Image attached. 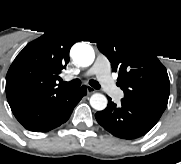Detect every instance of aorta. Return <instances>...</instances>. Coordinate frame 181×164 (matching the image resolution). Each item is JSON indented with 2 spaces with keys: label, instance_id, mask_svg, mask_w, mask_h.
Masks as SVG:
<instances>
[{
  "label": "aorta",
  "instance_id": "obj_1",
  "mask_svg": "<svg viewBox=\"0 0 181 164\" xmlns=\"http://www.w3.org/2000/svg\"><path fill=\"white\" fill-rule=\"evenodd\" d=\"M73 61L82 67L90 66L95 59L93 49L86 45H77L71 51ZM90 105L95 110L101 111L107 107V98L101 93H95L90 97Z\"/></svg>",
  "mask_w": 181,
  "mask_h": 164
}]
</instances>
